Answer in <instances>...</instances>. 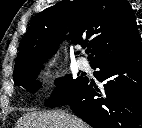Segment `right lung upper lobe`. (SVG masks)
<instances>
[{"mask_svg": "<svg viewBox=\"0 0 142 128\" xmlns=\"http://www.w3.org/2000/svg\"><path fill=\"white\" fill-rule=\"evenodd\" d=\"M67 31L74 44L92 47L91 66L141 43L135 15L126 0H62L33 18L21 42L15 69L47 60Z\"/></svg>", "mask_w": 142, "mask_h": 128, "instance_id": "obj_1", "label": "right lung upper lobe"}]
</instances>
